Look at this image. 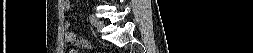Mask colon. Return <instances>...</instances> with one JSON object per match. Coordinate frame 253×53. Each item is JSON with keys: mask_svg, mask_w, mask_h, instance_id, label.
Segmentation results:
<instances>
[{"mask_svg": "<svg viewBox=\"0 0 253 53\" xmlns=\"http://www.w3.org/2000/svg\"><path fill=\"white\" fill-rule=\"evenodd\" d=\"M80 46H82V47H90V44L88 42H86V41H82L80 43ZM75 52H76L75 50H70V53H75Z\"/></svg>", "mask_w": 253, "mask_h": 53, "instance_id": "1", "label": "colon"}]
</instances>
